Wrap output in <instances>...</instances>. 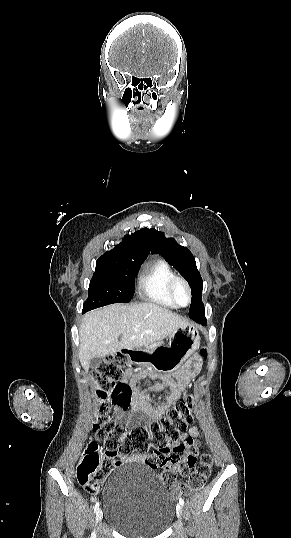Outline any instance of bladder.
<instances>
[{
    "instance_id": "31cf9c89",
    "label": "bladder",
    "mask_w": 291,
    "mask_h": 538,
    "mask_svg": "<svg viewBox=\"0 0 291 538\" xmlns=\"http://www.w3.org/2000/svg\"><path fill=\"white\" fill-rule=\"evenodd\" d=\"M104 517L128 538H156L172 523L174 501L156 474L128 463L108 478L103 491Z\"/></svg>"
}]
</instances>
